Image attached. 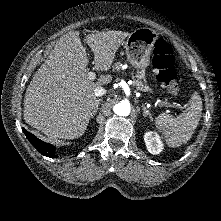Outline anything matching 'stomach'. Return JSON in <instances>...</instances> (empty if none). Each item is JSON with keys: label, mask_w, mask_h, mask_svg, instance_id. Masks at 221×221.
<instances>
[{"label": "stomach", "mask_w": 221, "mask_h": 221, "mask_svg": "<svg viewBox=\"0 0 221 221\" xmlns=\"http://www.w3.org/2000/svg\"><path fill=\"white\" fill-rule=\"evenodd\" d=\"M157 39L156 31L147 27L136 29L127 38L126 55L138 74H144L145 69L150 65L151 52Z\"/></svg>", "instance_id": "1"}]
</instances>
